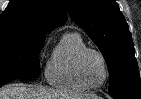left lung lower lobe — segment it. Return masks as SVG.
<instances>
[{"instance_id": "0a47b994", "label": "left lung lower lobe", "mask_w": 141, "mask_h": 99, "mask_svg": "<svg viewBox=\"0 0 141 99\" xmlns=\"http://www.w3.org/2000/svg\"><path fill=\"white\" fill-rule=\"evenodd\" d=\"M110 95L114 99H141V94H133V93H110Z\"/></svg>"}]
</instances>
